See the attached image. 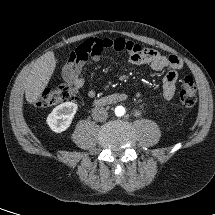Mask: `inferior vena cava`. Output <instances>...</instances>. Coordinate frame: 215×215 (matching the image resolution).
Segmentation results:
<instances>
[{
    "instance_id": "obj_1",
    "label": "inferior vena cava",
    "mask_w": 215,
    "mask_h": 215,
    "mask_svg": "<svg viewBox=\"0 0 215 215\" xmlns=\"http://www.w3.org/2000/svg\"><path fill=\"white\" fill-rule=\"evenodd\" d=\"M92 117L96 121L103 122L107 119L108 113L104 107H95L92 109Z\"/></svg>"
}]
</instances>
